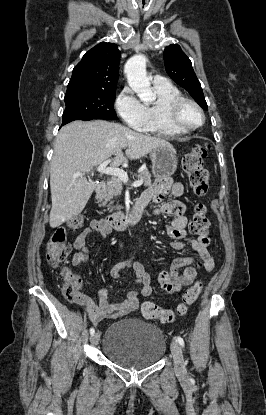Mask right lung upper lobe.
Returning <instances> with one entry per match:
<instances>
[{"label":"right lung upper lobe","instance_id":"right-lung-upper-lobe-1","mask_svg":"<svg viewBox=\"0 0 266 415\" xmlns=\"http://www.w3.org/2000/svg\"><path fill=\"white\" fill-rule=\"evenodd\" d=\"M120 56L114 43L101 42L93 47L74 67L67 92L116 90Z\"/></svg>","mask_w":266,"mask_h":415}]
</instances>
